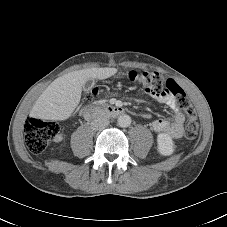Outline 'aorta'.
<instances>
[{"label":"aorta","mask_w":227,"mask_h":227,"mask_svg":"<svg viewBox=\"0 0 227 227\" xmlns=\"http://www.w3.org/2000/svg\"><path fill=\"white\" fill-rule=\"evenodd\" d=\"M117 123L120 127H129L131 124V117L127 114H122L118 117Z\"/></svg>","instance_id":"aorta-1"}]
</instances>
